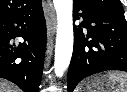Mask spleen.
I'll list each match as a JSON object with an SVG mask.
<instances>
[{
	"label": "spleen",
	"mask_w": 127,
	"mask_h": 92,
	"mask_svg": "<svg viewBox=\"0 0 127 92\" xmlns=\"http://www.w3.org/2000/svg\"><path fill=\"white\" fill-rule=\"evenodd\" d=\"M105 76L116 85L112 92H127V73L110 71Z\"/></svg>",
	"instance_id": "3e777b00"
}]
</instances>
